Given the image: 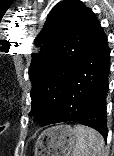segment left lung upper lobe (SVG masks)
<instances>
[{
	"instance_id": "obj_1",
	"label": "left lung upper lobe",
	"mask_w": 114,
	"mask_h": 156,
	"mask_svg": "<svg viewBox=\"0 0 114 156\" xmlns=\"http://www.w3.org/2000/svg\"><path fill=\"white\" fill-rule=\"evenodd\" d=\"M97 23L95 14L79 0L58 3L50 12L35 43L29 78L32 109L45 126L59 110L68 81Z\"/></svg>"
}]
</instances>
